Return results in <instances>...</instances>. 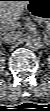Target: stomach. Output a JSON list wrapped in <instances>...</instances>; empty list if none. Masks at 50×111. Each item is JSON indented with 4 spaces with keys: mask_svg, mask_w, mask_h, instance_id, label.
Instances as JSON below:
<instances>
[{
    "mask_svg": "<svg viewBox=\"0 0 50 111\" xmlns=\"http://www.w3.org/2000/svg\"><path fill=\"white\" fill-rule=\"evenodd\" d=\"M26 8L39 22L50 21V0H28Z\"/></svg>",
    "mask_w": 50,
    "mask_h": 111,
    "instance_id": "stomach-1",
    "label": "stomach"
}]
</instances>
